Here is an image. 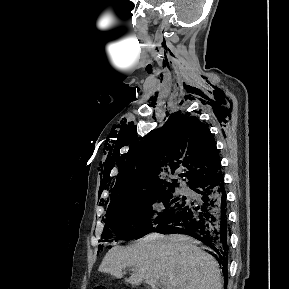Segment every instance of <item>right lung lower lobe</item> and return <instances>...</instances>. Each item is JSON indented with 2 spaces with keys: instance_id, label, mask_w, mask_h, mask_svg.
Returning <instances> with one entry per match:
<instances>
[{
  "instance_id": "98d812e1",
  "label": "right lung lower lobe",
  "mask_w": 289,
  "mask_h": 289,
  "mask_svg": "<svg viewBox=\"0 0 289 289\" xmlns=\"http://www.w3.org/2000/svg\"><path fill=\"white\" fill-rule=\"evenodd\" d=\"M190 188L198 194V199L187 202L177 214L155 226L152 231L188 234L201 241L214 252L227 280L230 225L223 175L219 171L203 177Z\"/></svg>"
}]
</instances>
